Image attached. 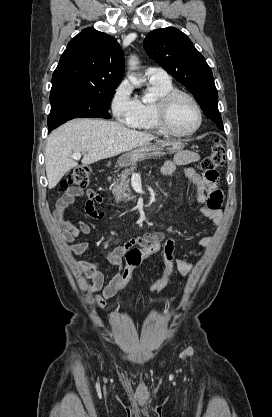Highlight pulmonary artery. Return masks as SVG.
<instances>
[{"instance_id":"1","label":"pulmonary artery","mask_w":272,"mask_h":417,"mask_svg":"<svg viewBox=\"0 0 272 417\" xmlns=\"http://www.w3.org/2000/svg\"><path fill=\"white\" fill-rule=\"evenodd\" d=\"M145 77L151 81L166 82L170 80L168 73L159 67H150L145 72Z\"/></svg>"}]
</instances>
